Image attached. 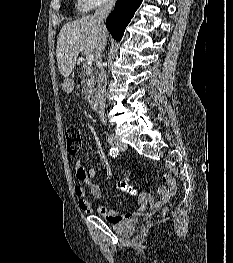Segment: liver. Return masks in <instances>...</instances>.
<instances>
[{"instance_id": "6515ba94", "label": "liver", "mask_w": 233, "mask_h": 263, "mask_svg": "<svg viewBox=\"0 0 233 263\" xmlns=\"http://www.w3.org/2000/svg\"><path fill=\"white\" fill-rule=\"evenodd\" d=\"M97 41L98 30L92 16L66 23L57 39L56 58L60 73L69 77L79 53L92 54Z\"/></svg>"}]
</instances>
